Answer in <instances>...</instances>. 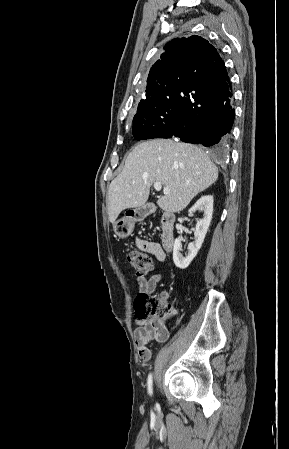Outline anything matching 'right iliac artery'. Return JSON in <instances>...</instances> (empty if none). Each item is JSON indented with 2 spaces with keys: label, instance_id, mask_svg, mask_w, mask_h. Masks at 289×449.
Listing matches in <instances>:
<instances>
[{
  "label": "right iliac artery",
  "instance_id": "right-iliac-artery-1",
  "mask_svg": "<svg viewBox=\"0 0 289 449\" xmlns=\"http://www.w3.org/2000/svg\"><path fill=\"white\" fill-rule=\"evenodd\" d=\"M152 374H149L148 376V381H147V385H148V393L152 394L153 390H152Z\"/></svg>",
  "mask_w": 289,
  "mask_h": 449
}]
</instances>
